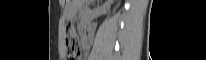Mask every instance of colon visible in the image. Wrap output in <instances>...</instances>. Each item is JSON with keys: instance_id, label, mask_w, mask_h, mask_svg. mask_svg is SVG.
<instances>
[{"instance_id": "5ec220e1", "label": "colon", "mask_w": 206, "mask_h": 60, "mask_svg": "<svg viewBox=\"0 0 206 60\" xmlns=\"http://www.w3.org/2000/svg\"><path fill=\"white\" fill-rule=\"evenodd\" d=\"M66 44H67V59L74 60L77 50V41L75 27L73 24H68L66 27Z\"/></svg>"}]
</instances>
